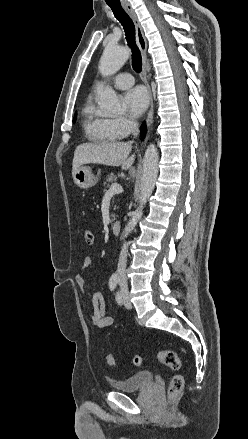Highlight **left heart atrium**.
<instances>
[{
    "mask_svg": "<svg viewBox=\"0 0 248 439\" xmlns=\"http://www.w3.org/2000/svg\"><path fill=\"white\" fill-rule=\"evenodd\" d=\"M123 102L128 111L134 116L144 113L149 104V96L143 87L128 90L123 96Z\"/></svg>",
    "mask_w": 248,
    "mask_h": 439,
    "instance_id": "obj_1",
    "label": "left heart atrium"
}]
</instances>
